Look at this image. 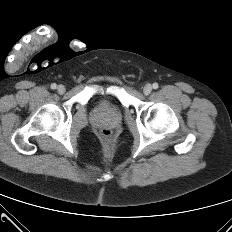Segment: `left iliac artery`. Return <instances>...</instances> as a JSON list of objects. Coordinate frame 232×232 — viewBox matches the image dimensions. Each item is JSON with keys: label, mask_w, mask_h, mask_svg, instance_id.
<instances>
[{"label": "left iliac artery", "mask_w": 232, "mask_h": 232, "mask_svg": "<svg viewBox=\"0 0 232 232\" xmlns=\"http://www.w3.org/2000/svg\"><path fill=\"white\" fill-rule=\"evenodd\" d=\"M159 87L158 83H153V88L157 89Z\"/></svg>", "instance_id": "44dca946"}]
</instances>
